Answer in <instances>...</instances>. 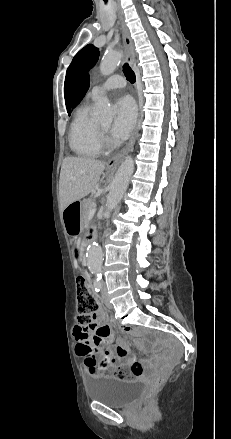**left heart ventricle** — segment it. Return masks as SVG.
<instances>
[{
  "mask_svg": "<svg viewBox=\"0 0 231 439\" xmlns=\"http://www.w3.org/2000/svg\"><path fill=\"white\" fill-rule=\"evenodd\" d=\"M102 127H103L104 129H107V128L109 127V124H102Z\"/></svg>",
  "mask_w": 231,
  "mask_h": 439,
  "instance_id": "obj_1",
  "label": "left heart ventricle"
}]
</instances>
